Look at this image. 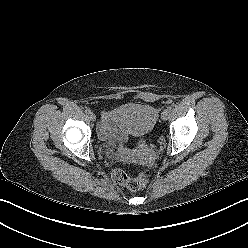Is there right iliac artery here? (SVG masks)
Segmentation results:
<instances>
[{
  "label": "right iliac artery",
  "mask_w": 248,
  "mask_h": 248,
  "mask_svg": "<svg viewBox=\"0 0 248 248\" xmlns=\"http://www.w3.org/2000/svg\"><path fill=\"white\" fill-rule=\"evenodd\" d=\"M85 113L89 115V114L91 113V110L87 108V109L85 110Z\"/></svg>",
  "instance_id": "1"
}]
</instances>
